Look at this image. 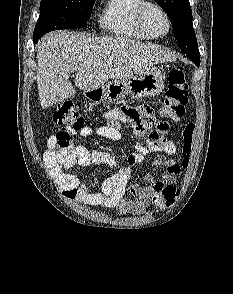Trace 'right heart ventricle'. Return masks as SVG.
Wrapping results in <instances>:
<instances>
[{
    "label": "right heart ventricle",
    "mask_w": 233,
    "mask_h": 294,
    "mask_svg": "<svg viewBox=\"0 0 233 294\" xmlns=\"http://www.w3.org/2000/svg\"><path fill=\"white\" fill-rule=\"evenodd\" d=\"M145 0H106L99 16L101 28L110 34L134 40H150L138 25L136 13Z\"/></svg>",
    "instance_id": "1"
}]
</instances>
